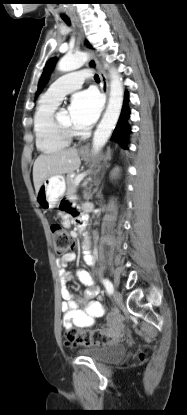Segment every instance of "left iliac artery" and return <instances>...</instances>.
Returning <instances> with one entry per match:
<instances>
[{"label": "left iliac artery", "instance_id": "44dca946", "mask_svg": "<svg viewBox=\"0 0 187 415\" xmlns=\"http://www.w3.org/2000/svg\"><path fill=\"white\" fill-rule=\"evenodd\" d=\"M102 283L104 284L106 291L108 294H112L113 293V285L112 283L108 280V279H103Z\"/></svg>", "mask_w": 187, "mask_h": 415}]
</instances>
